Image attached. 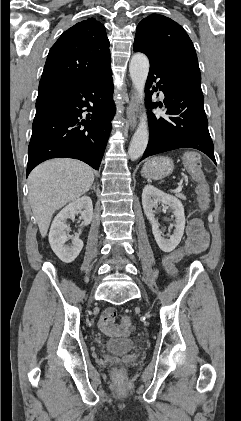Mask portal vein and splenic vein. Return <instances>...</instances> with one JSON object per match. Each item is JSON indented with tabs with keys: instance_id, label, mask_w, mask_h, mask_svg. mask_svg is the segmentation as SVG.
I'll return each instance as SVG.
<instances>
[{
	"instance_id": "obj_1",
	"label": "portal vein and splenic vein",
	"mask_w": 241,
	"mask_h": 421,
	"mask_svg": "<svg viewBox=\"0 0 241 421\" xmlns=\"http://www.w3.org/2000/svg\"><path fill=\"white\" fill-rule=\"evenodd\" d=\"M181 190H182V186H181V184H178V187L174 190H171V192L179 193Z\"/></svg>"
}]
</instances>
